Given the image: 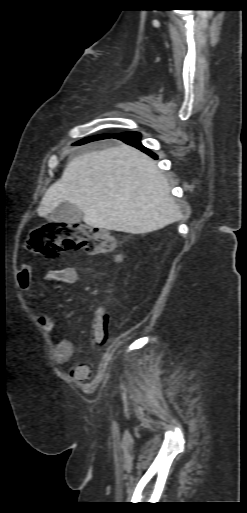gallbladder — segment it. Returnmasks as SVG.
<instances>
[{
  "mask_svg": "<svg viewBox=\"0 0 247 513\" xmlns=\"http://www.w3.org/2000/svg\"><path fill=\"white\" fill-rule=\"evenodd\" d=\"M83 215V212L79 210L74 204L66 201L61 203L54 211H52L47 219L49 221L75 224L82 220Z\"/></svg>",
  "mask_w": 247,
  "mask_h": 513,
  "instance_id": "1",
  "label": "gallbladder"
}]
</instances>
